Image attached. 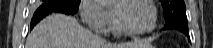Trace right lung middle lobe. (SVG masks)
Listing matches in <instances>:
<instances>
[{
	"label": "right lung middle lobe",
	"instance_id": "right-lung-middle-lobe-1",
	"mask_svg": "<svg viewBox=\"0 0 213 48\" xmlns=\"http://www.w3.org/2000/svg\"><path fill=\"white\" fill-rule=\"evenodd\" d=\"M54 1L63 3L66 7H68L73 12L77 11L79 7V3H80V0H54Z\"/></svg>",
	"mask_w": 213,
	"mask_h": 48
}]
</instances>
